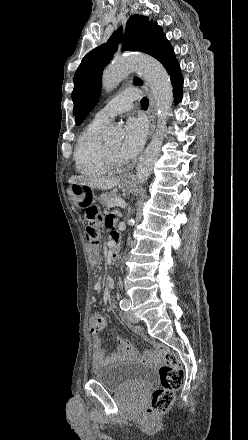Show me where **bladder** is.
<instances>
[{"instance_id": "31cf9c89", "label": "bladder", "mask_w": 248, "mask_h": 440, "mask_svg": "<svg viewBox=\"0 0 248 440\" xmlns=\"http://www.w3.org/2000/svg\"><path fill=\"white\" fill-rule=\"evenodd\" d=\"M154 378L152 368L133 362L119 361L104 366L94 373V379L114 391L148 390Z\"/></svg>"}]
</instances>
